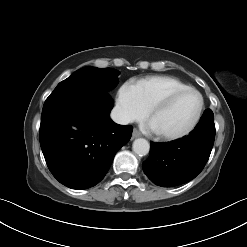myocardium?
Returning <instances> with one entry per match:
<instances>
[{"label":"myocardium","instance_id":"1","mask_svg":"<svg viewBox=\"0 0 247 247\" xmlns=\"http://www.w3.org/2000/svg\"><path fill=\"white\" fill-rule=\"evenodd\" d=\"M187 92H194L200 98V105H199V108H198V111L196 113L194 120L186 129H184L183 131L176 133V134H162V133H158L155 131L156 136L158 138H160L161 140L175 141V140L182 139V138L188 136L189 134H191L196 129V127L198 126V124L202 118L203 112H204L205 99H204V96L202 95V93L194 87H186V88H182V89H177V90L171 91L168 94L164 95L162 98H160L158 101H156L149 108L148 119H151L157 112L167 108L177 96L184 94V93H187Z\"/></svg>","mask_w":247,"mask_h":247}]
</instances>
